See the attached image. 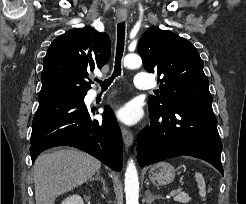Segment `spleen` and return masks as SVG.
<instances>
[{
    "instance_id": "spleen-1",
    "label": "spleen",
    "mask_w": 246,
    "mask_h": 204,
    "mask_svg": "<svg viewBox=\"0 0 246 204\" xmlns=\"http://www.w3.org/2000/svg\"><path fill=\"white\" fill-rule=\"evenodd\" d=\"M195 179L199 188V194L200 196L204 197L206 195V189H205L206 185H205L204 177L201 173L196 172Z\"/></svg>"
}]
</instances>
